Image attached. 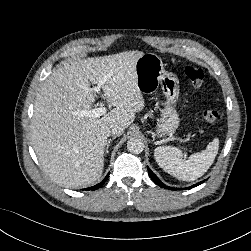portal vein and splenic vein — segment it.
I'll use <instances>...</instances> for the list:
<instances>
[{
    "mask_svg": "<svg viewBox=\"0 0 251 251\" xmlns=\"http://www.w3.org/2000/svg\"><path fill=\"white\" fill-rule=\"evenodd\" d=\"M104 81H101L96 87H93L91 90L95 93L101 94V87L103 86ZM107 112L106 107L101 106L98 108L90 109V110H81L77 111L75 114L81 117H92L99 118Z\"/></svg>",
    "mask_w": 251,
    "mask_h": 251,
    "instance_id": "1",
    "label": "portal vein and splenic vein"
}]
</instances>
